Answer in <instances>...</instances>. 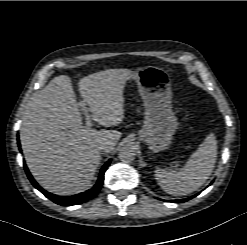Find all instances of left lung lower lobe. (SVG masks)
Wrapping results in <instances>:
<instances>
[{"mask_svg": "<svg viewBox=\"0 0 247 245\" xmlns=\"http://www.w3.org/2000/svg\"><path fill=\"white\" fill-rule=\"evenodd\" d=\"M186 200H176V201H171V202H179V203H181V202H185Z\"/></svg>", "mask_w": 247, "mask_h": 245, "instance_id": "left-lung-lower-lobe-1", "label": "left lung lower lobe"}]
</instances>
